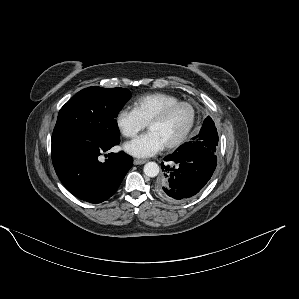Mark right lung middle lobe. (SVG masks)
Here are the masks:
<instances>
[{
    "mask_svg": "<svg viewBox=\"0 0 299 299\" xmlns=\"http://www.w3.org/2000/svg\"><path fill=\"white\" fill-rule=\"evenodd\" d=\"M129 98L130 91L125 88L81 90L60 109L52 143L76 136L120 140L116 117Z\"/></svg>",
    "mask_w": 299,
    "mask_h": 299,
    "instance_id": "1",
    "label": "right lung middle lobe"
}]
</instances>
